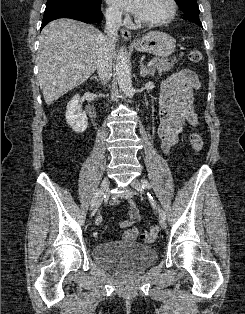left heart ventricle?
<instances>
[{"instance_id": "b2bd125f", "label": "left heart ventricle", "mask_w": 245, "mask_h": 314, "mask_svg": "<svg viewBox=\"0 0 245 314\" xmlns=\"http://www.w3.org/2000/svg\"><path fill=\"white\" fill-rule=\"evenodd\" d=\"M168 11L167 0H145L137 17L143 20H155L166 15Z\"/></svg>"}]
</instances>
